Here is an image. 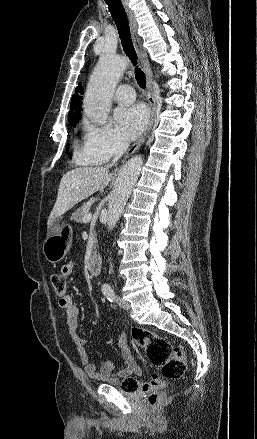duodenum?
Wrapping results in <instances>:
<instances>
[{
  "label": "duodenum",
  "mask_w": 257,
  "mask_h": 439,
  "mask_svg": "<svg viewBox=\"0 0 257 439\" xmlns=\"http://www.w3.org/2000/svg\"><path fill=\"white\" fill-rule=\"evenodd\" d=\"M102 268V258L100 254L96 251H94L89 260V271L91 274L95 275L100 272Z\"/></svg>",
  "instance_id": "duodenum-1"
}]
</instances>
